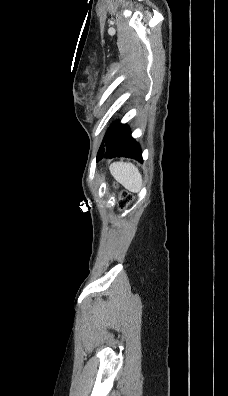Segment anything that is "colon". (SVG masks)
Segmentation results:
<instances>
[{"instance_id":"colon-1","label":"colon","mask_w":228,"mask_h":396,"mask_svg":"<svg viewBox=\"0 0 228 396\" xmlns=\"http://www.w3.org/2000/svg\"><path fill=\"white\" fill-rule=\"evenodd\" d=\"M120 200H121V205L125 206L127 205L132 199L131 197L127 194V193H122L120 196Z\"/></svg>"}]
</instances>
